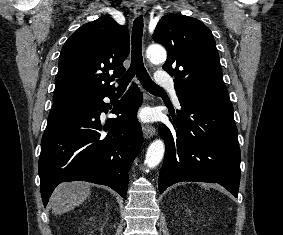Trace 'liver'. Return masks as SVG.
Masks as SVG:
<instances>
[{"label": "liver", "instance_id": "6515ba94", "mask_svg": "<svg viewBox=\"0 0 283 235\" xmlns=\"http://www.w3.org/2000/svg\"><path fill=\"white\" fill-rule=\"evenodd\" d=\"M90 184L85 182H67L58 185L52 196V212L59 215L82 204L90 195Z\"/></svg>", "mask_w": 283, "mask_h": 235}]
</instances>
